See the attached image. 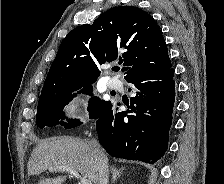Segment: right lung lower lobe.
Instances as JSON below:
<instances>
[{
  "label": "right lung lower lobe",
  "mask_w": 224,
  "mask_h": 184,
  "mask_svg": "<svg viewBox=\"0 0 224 184\" xmlns=\"http://www.w3.org/2000/svg\"><path fill=\"white\" fill-rule=\"evenodd\" d=\"M135 97L127 111L108 102L96 121L99 142L117 158L153 164L167 150L175 100L171 64L126 80Z\"/></svg>",
  "instance_id": "1"
}]
</instances>
